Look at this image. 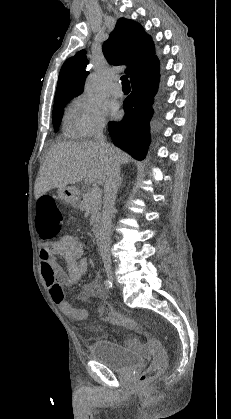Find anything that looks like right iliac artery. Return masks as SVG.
<instances>
[{
	"label": "right iliac artery",
	"instance_id": "right-iliac-artery-1",
	"mask_svg": "<svg viewBox=\"0 0 231 419\" xmlns=\"http://www.w3.org/2000/svg\"><path fill=\"white\" fill-rule=\"evenodd\" d=\"M104 286L105 288L110 289L112 287V282L110 280H105Z\"/></svg>",
	"mask_w": 231,
	"mask_h": 419
}]
</instances>
